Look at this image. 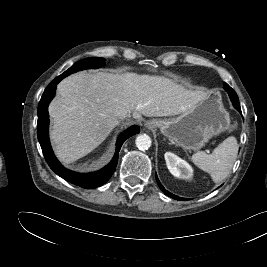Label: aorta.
<instances>
[{"instance_id": "1", "label": "aorta", "mask_w": 267, "mask_h": 267, "mask_svg": "<svg viewBox=\"0 0 267 267\" xmlns=\"http://www.w3.org/2000/svg\"><path fill=\"white\" fill-rule=\"evenodd\" d=\"M135 143L139 150H147L151 147L152 141L147 134H141L137 136Z\"/></svg>"}]
</instances>
